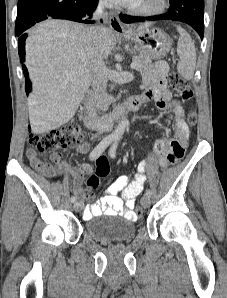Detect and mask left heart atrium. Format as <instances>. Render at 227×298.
I'll list each match as a JSON object with an SVG mask.
<instances>
[{
  "label": "left heart atrium",
  "instance_id": "39dd6f15",
  "mask_svg": "<svg viewBox=\"0 0 227 298\" xmlns=\"http://www.w3.org/2000/svg\"><path fill=\"white\" fill-rule=\"evenodd\" d=\"M110 1L123 6H133L137 0H110Z\"/></svg>",
  "mask_w": 227,
  "mask_h": 298
}]
</instances>
